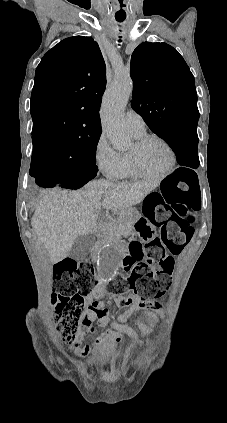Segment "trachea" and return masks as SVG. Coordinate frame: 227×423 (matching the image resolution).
<instances>
[{
    "mask_svg": "<svg viewBox=\"0 0 227 423\" xmlns=\"http://www.w3.org/2000/svg\"><path fill=\"white\" fill-rule=\"evenodd\" d=\"M116 20H117V22H123L125 20V18L116 19ZM119 38H120L119 42H121V37H119Z\"/></svg>",
    "mask_w": 227,
    "mask_h": 423,
    "instance_id": "3493384b",
    "label": "trachea"
}]
</instances>
